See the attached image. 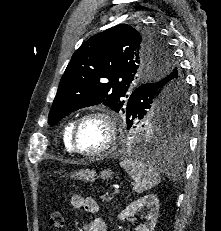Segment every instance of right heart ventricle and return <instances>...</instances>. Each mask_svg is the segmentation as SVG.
<instances>
[{"label": "right heart ventricle", "instance_id": "e07e8e85", "mask_svg": "<svg viewBox=\"0 0 221 231\" xmlns=\"http://www.w3.org/2000/svg\"><path fill=\"white\" fill-rule=\"evenodd\" d=\"M73 124H74V121L70 120L63 127L62 141H63L64 148L67 152L73 151V149L71 147V139H70Z\"/></svg>", "mask_w": 221, "mask_h": 231}]
</instances>
